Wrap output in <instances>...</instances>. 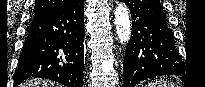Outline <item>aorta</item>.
I'll return each instance as SVG.
<instances>
[{"mask_svg": "<svg viewBox=\"0 0 205 87\" xmlns=\"http://www.w3.org/2000/svg\"><path fill=\"white\" fill-rule=\"evenodd\" d=\"M115 25L118 39L121 43H127L131 34V21L129 11L122 3H118L115 9Z\"/></svg>", "mask_w": 205, "mask_h": 87, "instance_id": "aorta-1", "label": "aorta"}]
</instances>
